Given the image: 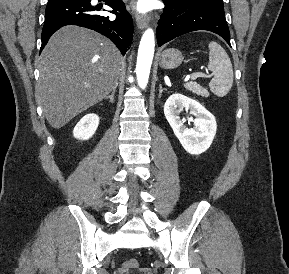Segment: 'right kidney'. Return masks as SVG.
<instances>
[{"instance_id":"ca27d5eb","label":"right kidney","mask_w":289,"mask_h":274,"mask_svg":"<svg viewBox=\"0 0 289 274\" xmlns=\"http://www.w3.org/2000/svg\"><path fill=\"white\" fill-rule=\"evenodd\" d=\"M98 125L99 116L97 114H86L74 127L73 136L79 140H88L94 135Z\"/></svg>"}]
</instances>
